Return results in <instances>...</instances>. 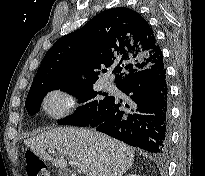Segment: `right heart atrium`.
I'll use <instances>...</instances> for the list:
<instances>
[{"mask_svg": "<svg viewBox=\"0 0 205 176\" xmlns=\"http://www.w3.org/2000/svg\"><path fill=\"white\" fill-rule=\"evenodd\" d=\"M74 105V99L63 90L49 92L42 103L43 110L53 118L66 116Z\"/></svg>", "mask_w": 205, "mask_h": 176, "instance_id": "obj_1", "label": "right heart atrium"}]
</instances>
